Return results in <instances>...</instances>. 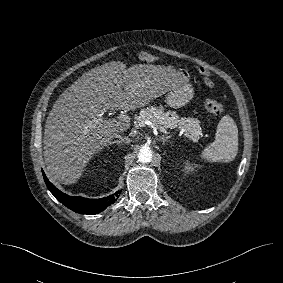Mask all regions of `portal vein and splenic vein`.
Masks as SVG:
<instances>
[{"label":"portal vein and splenic vein","instance_id":"1","mask_svg":"<svg viewBox=\"0 0 283 283\" xmlns=\"http://www.w3.org/2000/svg\"><path fill=\"white\" fill-rule=\"evenodd\" d=\"M117 119L118 120H120V121H122V122H124V123H127V124H129V122H130V117L128 116V115H126V114H119L118 116H117ZM158 129L161 131V132H163V133H167V131H166V129L165 128H163V127H158ZM191 138V137H190ZM193 141H197V139H194V138H191Z\"/></svg>","mask_w":283,"mask_h":283}]
</instances>
